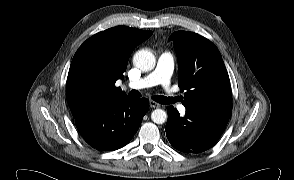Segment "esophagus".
Returning a JSON list of instances; mask_svg holds the SVG:
<instances>
[{"label": "esophagus", "mask_w": 294, "mask_h": 180, "mask_svg": "<svg viewBox=\"0 0 294 180\" xmlns=\"http://www.w3.org/2000/svg\"><path fill=\"white\" fill-rule=\"evenodd\" d=\"M150 107L151 108H158V107H160V104L151 100L150 101Z\"/></svg>", "instance_id": "obj_1"}]
</instances>
